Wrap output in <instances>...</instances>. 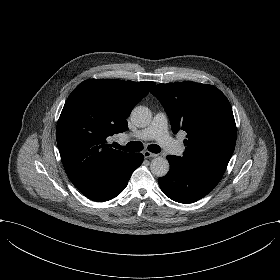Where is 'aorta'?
<instances>
[{
    "instance_id": "obj_1",
    "label": "aorta",
    "mask_w": 280,
    "mask_h": 280,
    "mask_svg": "<svg viewBox=\"0 0 280 280\" xmlns=\"http://www.w3.org/2000/svg\"><path fill=\"white\" fill-rule=\"evenodd\" d=\"M152 120V114L147 107L137 106L131 112V121L137 127H146ZM150 170L157 177L165 176L169 171V163L166 158L156 157L151 161Z\"/></svg>"
}]
</instances>
